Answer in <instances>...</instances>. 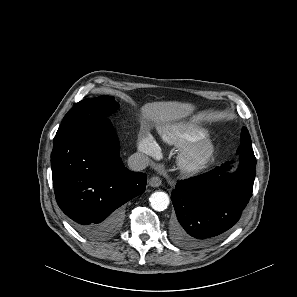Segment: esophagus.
Returning <instances> with one entry per match:
<instances>
[{
  "label": "esophagus",
  "instance_id": "esophagus-1",
  "mask_svg": "<svg viewBox=\"0 0 297 297\" xmlns=\"http://www.w3.org/2000/svg\"><path fill=\"white\" fill-rule=\"evenodd\" d=\"M148 184L151 187H159L162 184V180L158 176H153L149 179Z\"/></svg>",
  "mask_w": 297,
  "mask_h": 297
}]
</instances>
